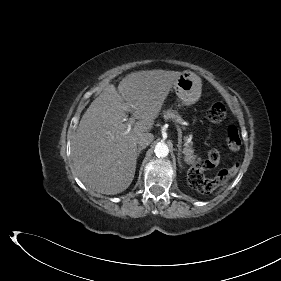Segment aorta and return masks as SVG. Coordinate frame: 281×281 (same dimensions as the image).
<instances>
[{"label":"aorta","instance_id":"obj_1","mask_svg":"<svg viewBox=\"0 0 281 281\" xmlns=\"http://www.w3.org/2000/svg\"><path fill=\"white\" fill-rule=\"evenodd\" d=\"M154 152L156 154L157 157H166L169 153V149L168 146L163 143V142H159L156 144Z\"/></svg>","mask_w":281,"mask_h":281}]
</instances>
